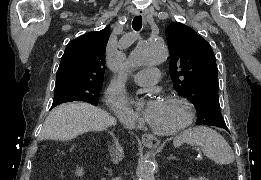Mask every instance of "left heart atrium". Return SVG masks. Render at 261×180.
I'll return each mask as SVG.
<instances>
[{"instance_id":"obj_1","label":"left heart atrium","mask_w":261,"mask_h":180,"mask_svg":"<svg viewBox=\"0 0 261 180\" xmlns=\"http://www.w3.org/2000/svg\"><path fill=\"white\" fill-rule=\"evenodd\" d=\"M159 101L154 97H146L133 107L134 114L147 121L158 107Z\"/></svg>"}]
</instances>
